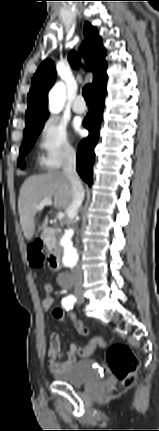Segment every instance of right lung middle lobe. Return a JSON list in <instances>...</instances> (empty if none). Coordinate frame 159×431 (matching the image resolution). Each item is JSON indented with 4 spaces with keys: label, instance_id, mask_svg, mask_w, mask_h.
<instances>
[{
    "label": "right lung middle lobe",
    "instance_id": "dd1d6c3e",
    "mask_svg": "<svg viewBox=\"0 0 159 431\" xmlns=\"http://www.w3.org/2000/svg\"><path fill=\"white\" fill-rule=\"evenodd\" d=\"M43 126H44V122L24 131V140L20 148V157L18 159V165L21 166L22 168L25 167L24 156L32 148Z\"/></svg>",
    "mask_w": 159,
    "mask_h": 431
}]
</instances>
